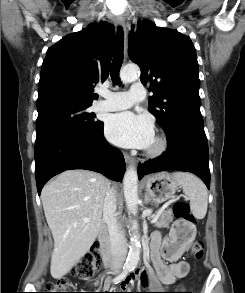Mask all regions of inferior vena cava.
<instances>
[{"instance_id":"inferior-vena-cava-1","label":"inferior vena cava","mask_w":245,"mask_h":293,"mask_svg":"<svg viewBox=\"0 0 245 293\" xmlns=\"http://www.w3.org/2000/svg\"><path fill=\"white\" fill-rule=\"evenodd\" d=\"M116 193L113 188L106 192L103 204V219L107 224L110 237V254L114 269L121 268L126 254L127 244L124 232L117 223L116 218Z\"/></svg>"}]
</instances>
